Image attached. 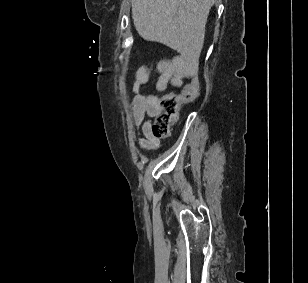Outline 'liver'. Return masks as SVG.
I'll list each match as a JSON object with an SVG mask.
<instances>
[{"label":"liver","mask_w":308,"mask_h":283,"mask_svg":"<svg viewBox=\"0 0 308 283\" xmlns=\"http://www.w3.org/2000/svg\"><path fill=\"white\" fill-rule=\"evenodd\" d=\"M215 0H131L138 34L197 60Z\"/></svg>","instance_id":"6515ba94"}]
</instances>
